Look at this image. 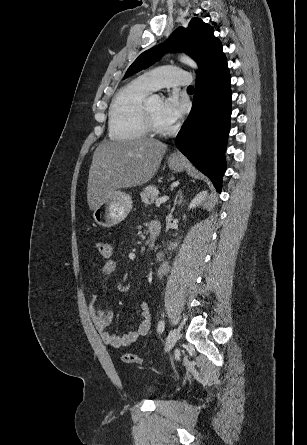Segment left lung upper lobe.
<instances>
[{
	"label": "left lung upper lobe",
	"mask_w": 307,
	"mask_h": 445,
	"mask_svg": "<svg viewBox=\"0 0 307 445\" xmlns=\"http://www.w3.org/2000/svg\"><path fill=\"white\" fill-rule=\"evenodd\" d=\"M167 51H183L190 55L199 65L197 75L225 56L220 40L214 36L213 28L199 18H192L187 28L176 29L166 43L139 55L127 70L124 78L149 67Z\"/></svg>",
	"instance_id": "5c2ea615"
}]
</instances>
